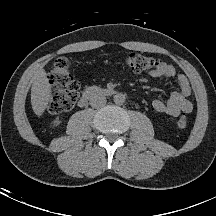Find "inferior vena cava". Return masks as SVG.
I'll use <instances>...</instances> for the list:
<instances>
[{
  "label": "inferior vena cava",
  "instance_id": "602c4592",
  "mask_svg": "<svg viewBox=\"0 0 216 216\" xmlns=\"http://www.w3.org/2000/svg\"><path fill=\"white\" fill-rule=\"evenodd\" d=\"M106 104V97L102 94H95L90 98V105L93 108H100Z\"/></svg>",
  "mask_w": 216,
  "mask_h": 216
}]
</instances>
